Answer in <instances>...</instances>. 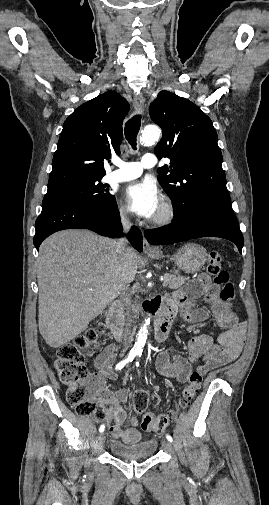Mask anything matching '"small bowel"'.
<instances>
[{
  "label": "small bowel",
  "mask_w": 269,
  "mask_h": 505,
  "mask_svg": "<svg viewBox=\"0 0 269 505\" xmlns=\"http://www.w3.org/2000/svg\"><path fill=\"white\" fill-rule=\"evenodd\" d=\"M199 300H204L208 308L198 306ZM166 301L174 308L178 306L182 308V318L185 322L198 324L212 319L225 331L220 334L218 344L205 334L192 337L188 341L187 358L179 354L171 357L168 351L161 352L156 359L157 371L161 375L185 383L192 373V364L201 363L197 370L205 375L239 356L245 338L246 323L239 321L230 312L228 303L219 297L218 288L211 283L207 274H200L166 298ZM115 351L114 346H109L96 359L95 366L98 369L96 376L100 380L99 396L107 404L108 413L113 420V425L109 429L112 436L127 443H136L141 438L137 418L130 419L127 429L122 428L127 418L122 403L128 400V390L122 388L112 392L103 388L105 379L113 380L117 377L113 371Z\"/></svg>",
  "instance_id": "c3829d8e"
}]
</instances>
